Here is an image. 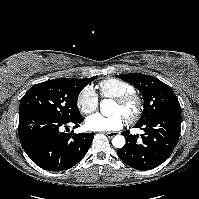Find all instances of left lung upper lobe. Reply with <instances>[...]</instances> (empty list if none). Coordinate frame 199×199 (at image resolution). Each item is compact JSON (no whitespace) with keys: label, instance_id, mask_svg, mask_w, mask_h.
Returning <instances> with one entry per match:
<instances>
[{"label":"left lung upper lobe","instance_id":"left-lung-upper-lobe-1","mask_svg":"<svg viewBox=\"0 0 199 199\" xmlns=\"http://www.w3.org/2000/svg\"><path fill=\"white\" fill-rule=\"evenodd\" d=\"M116 77L129 82L142 93L144 110L138 124L168 110L180 109L179 101L172 89L159 79L141 73L122 74Z\"/></svg>","mask_w":199,"mask_h":199}]
</instances>
